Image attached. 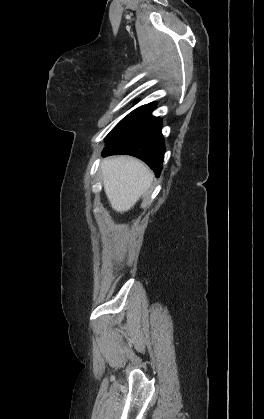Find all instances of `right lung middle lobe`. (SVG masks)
I'll return each instance as SVG.
<instances>
[{"label": "right lung middle lobe", "mask_w": 264, "mask_h": 419, "mask_svg": "<svg viewBox=\"0 0 264 419\" xmlns=\"http://www.w3.org/2000/svg\"><path fill=\"white\" fill-rule=\"evenodd\" d=\"M145 106H141L134 111H132L130 114H128L124 119H122L108 134L106 138V144L110 143L120 135H122L126 130H128L134 122L137 120V118L142 113Z\"/></svg>", "instance_id": "obj_1"}]
</instances>
